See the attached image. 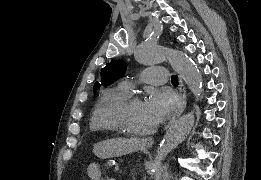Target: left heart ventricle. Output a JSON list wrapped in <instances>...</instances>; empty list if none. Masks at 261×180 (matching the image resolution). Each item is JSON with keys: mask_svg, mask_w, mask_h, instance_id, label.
<instances>
[{"mask_svg": "<svg viewBox=\"0 0 261 180\" xmlns=\"http://www.w3.org/2000/svg\"><path fill=\"white\" fill-rule=\"evenodd\" d=\"M117 116L127 133L136 136L147 134L157 123L143 99L121 110Z\"/></svg>", "mask_w": 261, "mask_h": 180, "instance_id": "obj_1", "label": "left heart ventricle"}]
</instances>
